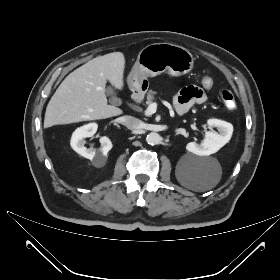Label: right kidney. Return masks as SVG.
<instances>
[{
	"label": "right kidney",
	"instance_id": "obj_1",
	"mask_svg": "<svg viewBox=\"0 0 280 280\" xmlns=\"http://www.w3.org/2000/svg\"><path fill=\"white\" fill-rule=\"evenodd\" d=\"M98 125L96 123H89L77 128L71 137L70 145L74 151L81 156L94 160L97 166H102L106 162L107 153L112 148V142L106 136L100 138L101 147L99 149L86 148L85 138L92 137L97 131Z\"/></svg>",
	"mask_w": 280,
	"mask_h": 280
}]
</instances>
